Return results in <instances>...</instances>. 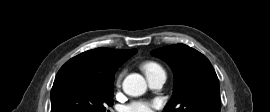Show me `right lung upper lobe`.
Masks as SVG:
<instances>
[{"label":"right lung upper lobe","mask_w":270,"mask_h":112,"mask_svg":"<svg viewBox=\"0 0 270 112\" xmlns=\"http://www.w3.org/2000/svg\"><path fill=\"white\" fill-rule=\"evenodd\" d=\"M136 52V49L115 50L105 47L96 48L71 58L61 67L58 73L76 72L99 76L104 79H114V73L119 66Z\"/></svg>","instance_id":"right-lung-upper-lobe-1"}]
</instances>
